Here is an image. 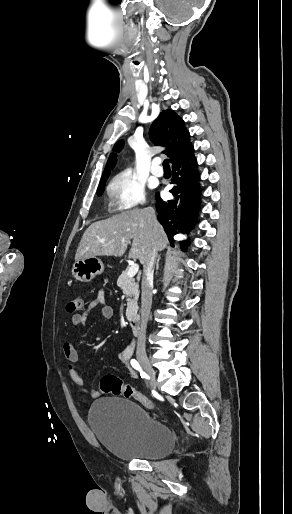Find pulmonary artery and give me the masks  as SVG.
I'll return each mask as SVG.
<instances>
[{
  "label": "pulmonary artery",
  "mask_w": 292,
  "mask_h": 514,
  "mask_svg": "<svg viewBox=\"0 0 292 514\" xmlns=\"http://www.w3.org/2000/svg\"><path fill=\"white\" fill-rule=\"evenodd\" d=\"M154 163L156 162L155 160L153 161ZM152 173L155 175V176H161L162 175V172L161 171H158V170H153Z\"/></svg>",
  "instance_id": "e3ab8cb5"
}]
</instances>
